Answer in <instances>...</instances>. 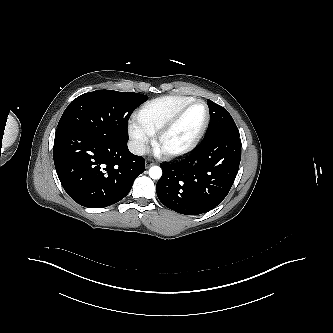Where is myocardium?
Returning a JSON list of instances; mask_svg holds the SVG:
<instances>
[{"mask_svg": "<svg viewBox=\"0 0 333 333\" xmlns=\"http://www.w3.org/2000/svg\"><path fill=\"white\" fill-rule=\"evenodd\" d=\"M195 104H202L204 105L206 109V118L199 129V131L195 134V136L191 139V141L186 144L185 146L178 148V149H163L161 146V142L164 139V137L178 124V122L181 120L183 115L186 113V111L191 108ZM211 119V112L208 104L202 100V99H193L192 101L186 103L182 107H180L173 115L172 117L155 133V138L153 141V145L155 150L164 158L172 159L177 158L183 155L188 154L192 150H194L197 145L200 143L202 138L204 137L209 123Z\"/></svg>", "mask_w": 333, "mask_h": 333, "instance_id": "obj_1", "label": "myocardium"}]
</instances>
